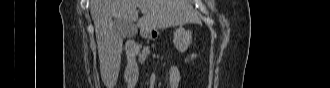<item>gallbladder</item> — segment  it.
<instances>
[{
  "label": "gallbladder",
  "mask_w": 330,
  "mask_h": 88,
  "mask_svg": "<svg viewBox=\"0 0 330 88\" xmlns=\"http://www.w3.org/2000/svg\"><path fill=\"white\" fill-rule=\"evenodd\" d=\"M114 24L117 31L121 34L123 38H132L137 33V29L134 23L116 20Z\"/></svg>",
  "instance_id": "gallbladder-1"
}]
</instances>
